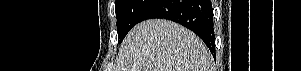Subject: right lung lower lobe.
<instances>
[{
  "instance_id": "98d812e1",
  "label": "right lung lower lobe",
  "mask_w": 301,
  "mask_h": 71,
  "mask_svg": "<svg viewBox=\"0 0 301 71\" xmlns=\"http://www.w3.org/2000/svg\"><path fill=\"white\" fill-rule=\"evenodd\" d=\"M161 18L177 22L196 33L213 56V8L210 0H155L143 13L140 22Z\"/></svg>"
}]
</instances>
